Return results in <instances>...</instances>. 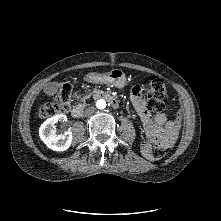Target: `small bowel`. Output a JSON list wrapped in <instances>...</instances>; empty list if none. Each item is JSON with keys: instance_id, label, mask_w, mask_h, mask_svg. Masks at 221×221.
Listing matches in <instances>:
<instances>
[{"instance_id": "1", "label": "small bowel", "mask_w": 221, "mask_h": 221, "mask_svg": "<svg viewBox=\"0 0 221 221\" xmlns=\"http://www.w3.org/2000/svg\"><path fill=\"white\" fill-rule=\"evenodd\" d=\"M131 100L136 112L143 123V129L146 136L141 143L142 153L145 157L150 158L151 144L167 143L171 146L177 136L180 121L179 119L168 121L165 112L157 113L154 117L149 113L139 86L133 87L131 91Z\"/></svg>"}]
</instances>
